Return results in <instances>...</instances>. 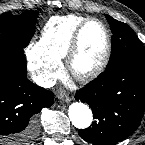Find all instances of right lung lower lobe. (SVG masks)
I'll list each match as a JSON object with an SVG mask.
<instances>
[{"label": "right lung lower lobe", "mask_w": 145, "mask_h": 145, "mask_svg": "<svg viewBox=\"0 0 145 145\" xmlns=\"http://www.w3.org/2000/svg\"><path fill=\"white\" fill-rule=\"evenodd\" d=\"M23 48H0V145H30L38 132L36 116L54 101L51 91L26 77Z\"/></svg>", "instance_id": "1"}]
</instances>
